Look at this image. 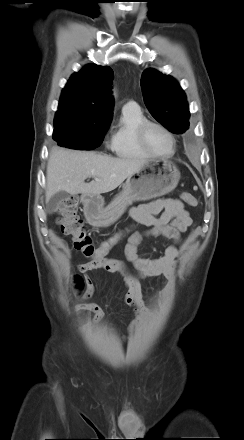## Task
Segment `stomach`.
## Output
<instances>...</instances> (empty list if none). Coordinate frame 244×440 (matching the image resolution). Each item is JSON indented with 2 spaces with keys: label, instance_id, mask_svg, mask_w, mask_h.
<instances>
[{
  "label": "stomach",
  "instance_id": "1",
  "mask_svg": "<svg viewBox=\"0 0 244 440\" xmlns=\"http://www.w3.org/2000/svg\"><path fill=\"white\" fill-rule=\"evenodd\" d=\"M180 171L169 160L147 161L131 174L122 191L104 207L100 195H82L87 222L95 227H108L116 222L135 201H146L173 191L180 180Z\"/></svg>",
  "mask_w": 244,
  "mask_h": 440
}]
</instances>
